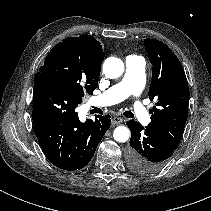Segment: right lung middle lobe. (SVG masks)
I'll list each match as a JSON object with an SVG mask.
<instances>
[{
    "label": "right lung middle lobe",
    "mask_w": 211,
    "mask_h": 211,
    "mask_svg": "<svg viewBox=\"0 0 211 211\" xmlns=\"http://www.w3.org/2000/svg\"><path fill=\"white\" fill-rule=\"evenodd\" d=\"M99 75L66 38L48 53L44 65L35 77H45L61 84L82 98L84 94H93L98 85Z\"/></svg>",
    "instance_id": "obj_1"
}]
</instances>
